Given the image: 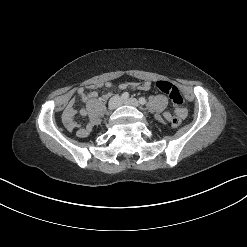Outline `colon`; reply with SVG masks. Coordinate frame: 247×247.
Masks as SVG:
<instances>
[{
    "instance_id": "1",
    "label": "colon",
    "mask_w": 247,
    "mask_h": 247,
    "mask_svg": "<svg viewBox=\"0 0 247 247\" xmlns=\"http://www.w3.org/2000/svg\"><path fill=\"white\" fill-rule=\"evenodd\" d=\"M154 87L160 92L166 94L176 108H182L184 99L179 91V89L169 81L159 80L153 83ZM181 124V117L174 116L171 120V125L173 128H178Z\"/></svg>"
}]
</instances>
